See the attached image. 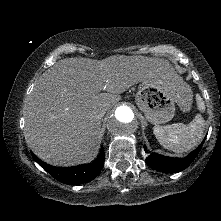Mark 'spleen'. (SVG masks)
Instances as JSON below:
<instances>
[{"mask_svg":"<svg viewBox=\"0 0 221 221\" xmlns=\"http://www.w3.org/2000/svg\"><path fill=\"white\" fill-rule=\"evenodd\" d=\"M190 93V87L187 86ZM192 97V95H191ZM199 110L204 109V102L200 96H196ZM205 127V121L200 114L189 124L174 123L167 126L155 125L153 133L159 143L166 149L177 153L190 151L200 142Z\"/></svg>","mask_w":221,"mask_h":221,"instance_id":"1","label":"spleen"}]
</instances>
